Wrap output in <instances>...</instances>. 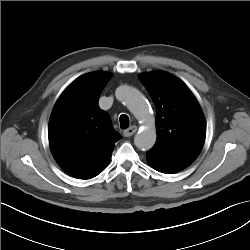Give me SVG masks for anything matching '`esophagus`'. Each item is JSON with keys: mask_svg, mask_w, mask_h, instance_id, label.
<instances>
[{"mask_svg": "<svg viewBox=\"0 0 250 250\" xmlns=\"http://www.w3.org/2000/svg\"><path fill=\"white\" fill-rule=\"evenodd\" d=\"M137 129H138L137 126L133 125V126L129 127L128 129H126L123 132V134L125 137H130L136 133Z\"/></svg>", "mask_w": 250, "mask_h": 250, "instance_id": "esophagus-1", "label": "esophagus"}]
</instances>
